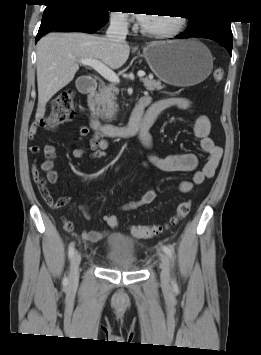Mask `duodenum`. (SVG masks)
Returning a JSON list of instances; mask_svg holds the SVG:
<instances>
[{
    "instance_id": "obj_1",
    "label": "duodenum",
    "mask_w": 261,
    "mask_h": 355,
    "mask_svg": "<svg viewBox=\"0 0 261 355\" xmlns=\"http://www.w3.org/2000/svg\"><path fill=\"white\" fill-rule=\"evenodd\" d=\"M97 86L98 83L89 77H83L79 79L77 83V89L81 93L92 94L96 90ZM141 106L142 102L139 101L131 115L129 122L125 125L101 123L97 118H95V116L88 114L90 127L94 131L99 132L109 138L132 137L144 129H150L152 126V121L144 120L142 112L140 111Z\"/></svg>"
}]
</instances>
